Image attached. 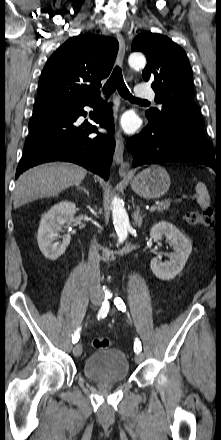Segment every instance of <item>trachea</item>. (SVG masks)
<instances>
[{"label": "trachea", "instance_id": "1", "mask_svg": "<svg viewBox=\"0 0 221 440\" xmlns=\"http://www.w3.org/2000/svg\"><path fill=\"white\" fill-rule=\"evenodd\" d=\"M116 89L124 99L134 102H147V100H141L132 96L124 82L122 71L118 66L114 68L111 77L103 87V91L105 94L110 95Z\"/></svg>", "mask_w": 221, "mask_h": 440}]
</instances>
